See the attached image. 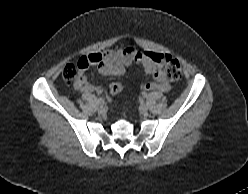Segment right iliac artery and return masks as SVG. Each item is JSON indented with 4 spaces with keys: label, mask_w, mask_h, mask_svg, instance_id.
<instances>
[{
    "label": "right iliac artery",
    "mask_w": 248,
    "mask_h": 194,
    "mask_svg": "<svg viewBox=\"0 0 248 194\" xmlns=\"http://www.w3.org/2000/svg\"><path fill=\"white\" fill-rule=\"evenodd\" d=\"M98 100H102V98H98Z\"/></svg>",
    "instance_id": "right-iliac-artery-1"
}]
</instances>
